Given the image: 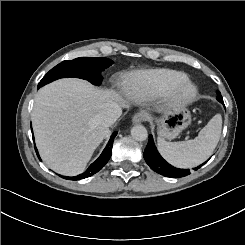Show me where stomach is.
<instances>
[{
	"label": "stomach",
	"mask_w": 245,
	"mask_h": 245,
	"mask_svg": "<svg viewBox=\"0 0 245 245\" xmlns=\"http://www.w3.org/2000/svg\"><path fill=\"white\" fill-rule=\"evenodd\" d=\"M151 122L157 126L159 137L164 140H173L192 123V114L186 107H171L161 116H151Z\"/></svg>",
	"instance_id": "stomach-1"
}]
</instances>
